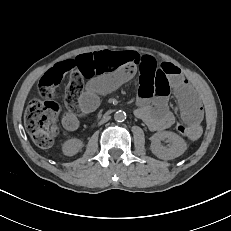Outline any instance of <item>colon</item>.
I'll use <instances>...</instances> for the list:
<instances>
[{
  "label": "colon",
  "mask_w": 231,
  "mask_h": 231,
  "mask_svg": "<svg viewBox=\"0 0 231 231\" xmlns=\"http://www.w3.org/2000/svg\"><path fill=\"white\" fill-rule=\"evenodd\" d=\"M39 98L28 104L24 122L33 142L41 147H49L56 134V122L59 114V105L54 101V84L41 80L38 87ZM176 131L186 137L192 135V128L184 123H177Z\"/></svg>",
  "instance_id": "5ec220e1"
}]
</instances>
